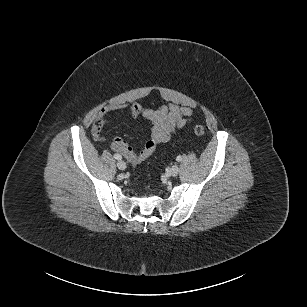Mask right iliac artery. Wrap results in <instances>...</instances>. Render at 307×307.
Returning a JSON list of instances; mask_svg holds the SVG:
<instances>
[{
    "label": "right iliac artery",
    "instance_id": "right-iliac-artery-1",
    "mask_svg": "<svg viewBox=\"0 0 307 307\" xmlns=\"http://www.w3.org/2000/svg\"><path fill=\"white\" fill-rule=\"evenodd\" d=\"M114 158L117 159V160H121L122 159L120 154H114Z\"/></svg>",
    "mask_w": 307,
    "mask_h": 307
}]
</instances>
